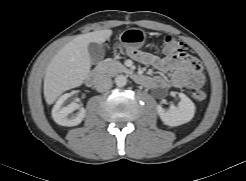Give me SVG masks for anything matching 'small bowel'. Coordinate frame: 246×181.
<instances>
[{
    "label": "small bowel",
    "mask_w": 246,
    "mask_h": 181,
    "mask_svg": "<svg viewBox=\"0 0 246 181\" xmlns=\"http://www.w3.org/2000/svg\"><path fill=\"white\" fill-rule=\"evenodd\" d=\"M127 54L142 64L151 65L162 72L169 73L168 77L148 76L149 80L145 84L148 87L193 88L200 86L203 83V79L201 81H197L195 79L194 73L191 69L192 62L198 60L185 52L163 58L136 49L128 50Z\"/></svg>",
    "instance_id": "1"
}]
</instances>
